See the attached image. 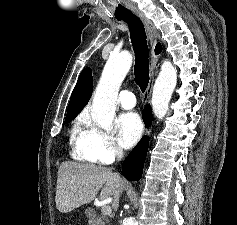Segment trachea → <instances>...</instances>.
Returning a JSON list of instances; mask_svg holds the SVG:
<instances>
[{
  "label": "trachea",
  "instance_id": "1",
  "mask_svg": "<svg viewBox=\"0 0 237 225\" xmlns=\"http://www.w3.org/2000/svg\"><path fill=\"white\" fill-rule=\"evenodd\" d=\"M117 19L125 21L129 26L131 43L135 53V82L144 92L149 83V50L144 25L140 18L132 12L119 16Z\"/></svg>",
  "mask_w": 237,
  "mask_h": 225
}]
</instances>
